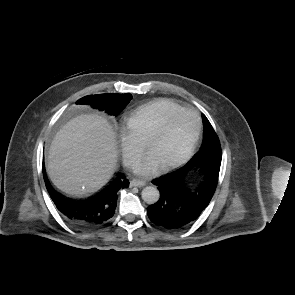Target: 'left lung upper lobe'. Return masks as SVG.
Listing matches in <instances>:
<instances>
[{"instance_id": "5c2ea615", "label": "left lung upper lobe", "mask_w": 295, "mask_h": 295, "mask_svg": "<svg viewBox=\"0 0 295 295\" xmlns=\"http://www.w3.org/2000/svg\"><path fill=\"white\" fill-rule=\"evenodd\" d=\"M203 119V145L200 152L193 158L190 163H194L197 159L207 155V154H221V146L218 136L216 135L213 127L210 122L206 118V116L202 115Z\"/></svg>"}]
</instances>
